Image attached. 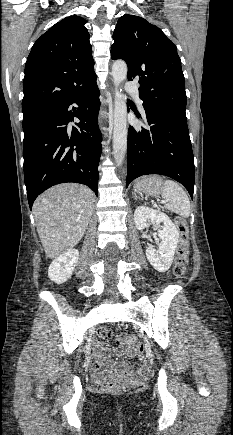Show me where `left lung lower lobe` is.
<instances>
[{"label":"left lung lower lobe","mask_w":233,"mask_h":435,"mask_svg":"<svg viewBox=\"0 0 233 435\" xmlns=\"http://www.w3.org/2000/svg\"><path fill=\"white\" fill-rule=\"evenodd\" d=\"M144 109L150 129H128L126 186L139 176L160 174L183 184L193 198L195 172L186 114Z\"/></svg>","instance_id":"1"}]
</instances>
